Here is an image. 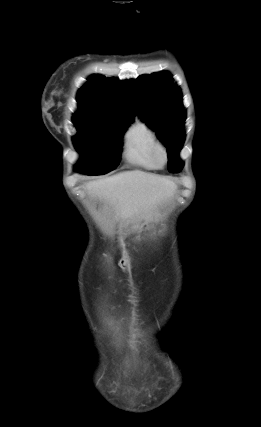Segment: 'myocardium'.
Returning a JSON list of instances; mask_svg holds the SVG:
<instances>
[{"label":"myocardium","instance_id":"obj_1","mask_svg":"<svg viewBox=\"0 0 261 427\" xmlns=\"http://www.w3.org/2000/svg\"><path fill=\"white\" fill-rule=\"evenodd\" d=\"M153 159L158 168L166 166L169 160V154L166 146L158 142L153 150Z\"/></svg>","mask_w":261,"mask_h":427}]
</instances>
